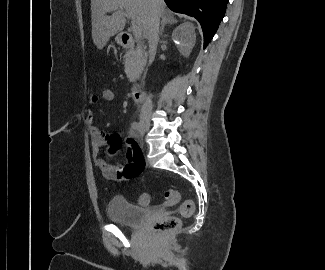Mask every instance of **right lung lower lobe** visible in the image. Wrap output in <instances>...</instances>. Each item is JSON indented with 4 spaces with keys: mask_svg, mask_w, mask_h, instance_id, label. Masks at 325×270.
Returning <instances> with one entry per match:
<instances>
[{
    "mask_svg": "<svg viewBox=\"0 0 325 270\" xmlns=\"http://www.w3.org/2000/svg\"><path fill=\"white\" fill-rule=\"evenodd\" d=\"M168 7L178 13L196 18L201 24L204 48L213 38L226 11L228 0H164Z\"/></svg>",
    "mask_w": 325,
    "mask_h": 270,
    "instance_id": "right-lung-lower-lobe-1",
    "label": "right lung lower lobe"
}]
</instances>
